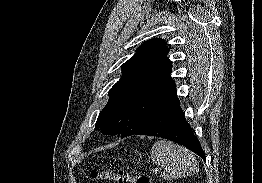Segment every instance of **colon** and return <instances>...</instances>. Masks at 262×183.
Returning <instances> with one entry per match:
<instances>
[{
    "mask_svg": "<svg viewBox=\"0 0 262 183\" xmlns=\"http://www.w3.org/2000/svg\"><path fill=\"white\" fill-rule=\"evenodd\" d=\"M89 180L113 181L116 183H151L150 179L144 175H131L122 171L114 170H92L87 176Z\"/></svg>",
    "mask_w": 262,
    "mask_h": 183,
    "instance_id": "1",
    "label": "colon"
}]
</instances>
